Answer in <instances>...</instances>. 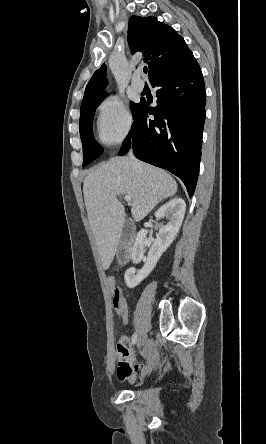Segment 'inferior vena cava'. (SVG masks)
<instances>
[{
  "label": "inferior vena cava",
  "mask_w": 266,
  "mask_h": 444,
  "mask_svg": "<svg viewBox=\"0 0 266 444\" xmlns=\"http://www.w3.org/2000/svg\"><path fill=\"white\" fill-rule=\"evenodd\" d=\"M129 157H130L131 160L135 159L132 151L129 152Z\"/></svg>",
  "instance_id": "602c4592"
}]
</instances>
